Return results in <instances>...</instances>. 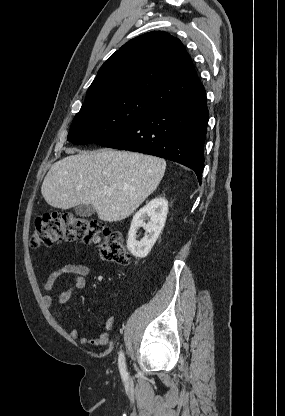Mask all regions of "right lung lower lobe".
<instances>
[{"label":"right lung lower lobe","instance_id":"1","mask_svg":"<svg viewBox=\"0 0 285 416\" xmlns=\"http://www.w3.org/2000/svg\"><path fill=\"white\" fill-rule=\"evenodd\" d=\"M205 90L153 110L98 145L141 152L183 164L201 183L208 123Z\"/></svg>","mask_w":285,"mask_h":416}]
</instances>
